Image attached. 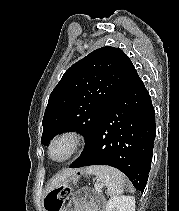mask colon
<instances>
[{"label":"colon","mask_w":179,"mask_h":211,"mask_svg":"<svg viewBox=\"0 0 179 211\" xmlns=\"http://www.w3.org/2000/svg\"><path fill=\"white\" fill-rule=\"evenodd\" d=\"M68 196L69 190L65 187L52 190L45 198L46 209L48 211H60Z\"/></svg>","instance_id":"obj_1"}]
</instances>
